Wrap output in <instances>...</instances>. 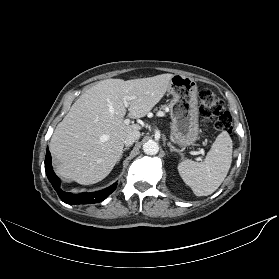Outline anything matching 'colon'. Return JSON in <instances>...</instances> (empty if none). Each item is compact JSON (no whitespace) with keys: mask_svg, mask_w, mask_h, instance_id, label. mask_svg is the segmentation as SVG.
<instances>
[{"mask_svg":"<svg viewBox=\"0 0 279 279\" xmlns=\"http://www.w3.org/2000/svg\"><path fill=\"white\" fill-rule=\"evenodd\" d=\"M200 113L206 121H214V126L220 131L232 129V117L226 111L220 98L209 89L199 92Z\"/></svg>","mask_w":279,"mask_h":279,"instance_id":"colon-1","label":"colon"}]
</instances>
